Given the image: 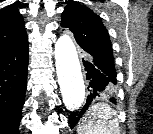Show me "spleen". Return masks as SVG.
Returning <instances> with one entry per match:
<instances>
[{"label":"spleen","instance_id":"1","mask_svg":"<svg viewBox=\"0 0 153 134\" xmlns=\"http://www.w3.org/2000/svg\"><path fill=\"white\" fill-rule=\"evenodd\" d=\"M116 112L104 102L92 104L77 127L78 134H120Z\"/></svg>","mask_w":153,"mask_h":134}]
</instances>
